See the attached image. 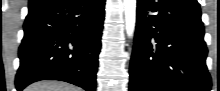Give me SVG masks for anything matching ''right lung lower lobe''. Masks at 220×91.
<instances>
[{
	"label": "right lung lower lobe",
	"instance_id": "1",
	"mask_svg": "<svg viewBox=\"0 0 220 91\" xmlns=\"http://www.w3.org/2000/svg\"><path fill=\"white\" fill-rule=\"evenodd\" d=\"M104 6L105 0L29 2L17 91L40 80H60L95 91Z\"/></svg>",
	"mask_w": 220,
	"mask_h": 91
}]
</instances>
